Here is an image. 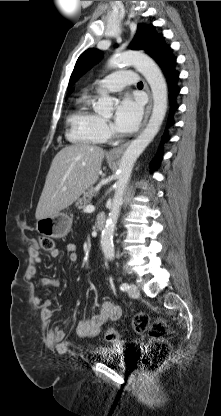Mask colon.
I'll return each mask as SVG.
<instances>
[{"label": "colon", "instance_id": "1", "mask_svg": "<svg viewBox=\"0 0 221 416\" xmlns=\"http://www.w3.org/2000/svg\"><path fill=\"white\" fill-rule=\"evenodd\" d=\"M39 245L44 251L54 250V240L50 237H40ZM132 325L137 333L149 331L152 336L146 348L142 368L145 372L155 373L166 362L171 352L170 344L164 338L171 332L170 326L161 318L150 322L148 315L144 312H139L134 316ZM105 338L109 342H117L118 332L114 328H109L105 331Z\"/></svg>", "mask_w": 221, "mask_h": 416}]
</instances>
